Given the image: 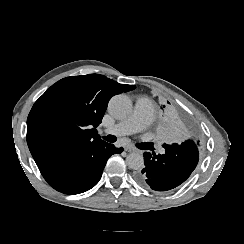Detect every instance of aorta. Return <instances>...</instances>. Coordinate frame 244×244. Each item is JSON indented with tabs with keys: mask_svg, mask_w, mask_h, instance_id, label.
Instances as JSON below:
<instances>
[{
	"mask_svg": "<svg viewBox=\"0 0 244 244\" xmlns=\"http://www.w3.org/2000/svg\"><path fill=\"white\" fill-rule=\"evenodd\" d=\"M108 110L115 118L122 119L131 113L132 102L126 95H115L108 103ZM126 164L133 170H140L144 167L143 156L136 152L130 153L126 157Z\"/></svg>",
	"mask_w": 244,
	"mask_h": 244,
	"instance_id": "1",
	"label": "aorta"
}]
</instances>
